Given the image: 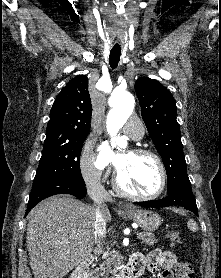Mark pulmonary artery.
Here are the masks:
<instances>
[{"mask_svg": "<svg viewBox=\"0 0 221 278\" xmlns=\"http://www.w3.org/2000/svg\"><path fill=\"white\" fill-rule=\"evenodd\" d=\"M123 132L134 140H140L144 135V126L141 122L130 119L123 126Z\"/></svg>", "mask_w": 221, "mask_h": 278, "instance_id": "obj_1", "label": "pulmonary artery"}]
</instances>
